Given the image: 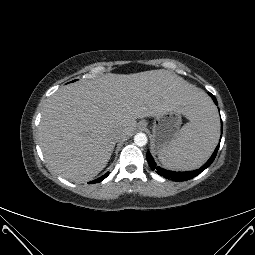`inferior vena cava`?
<instances>
[{
    "mask_svg": "<svg viewBox=\"0 0 255 255\" xmlns=\"http://www.w3.org/2000/svg\"><path fill=\"white\" fill-rule=\"evenodd\" d=\"M112 137H113V139H114L116 142H118V141L122 140L123 135H122L121 132L115 131V132L112 134Z\"/></svg>",
    "mask_w": 255,
    "mask_h": 255,
    "instance_id": "inferior-vena-cava-1",
    "label": "inferior vena cava"
}]
</instances>
